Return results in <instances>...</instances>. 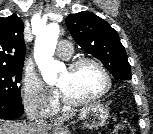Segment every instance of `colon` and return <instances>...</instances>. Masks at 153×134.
I'll return each mask as SVG.
<instances>
[{"label": "colon", "instance_id": "5ec220e1", "mask_svg": "<svg viewBox=\"0 0 153 134\" xmlns=\"http://www.w3.org/2000/svg\"><path fill=\"white\" fill-rule=\"evenodd\" d=\"M100 134H133L127 119V112L124 110L116 111L112 121L106 125Z\"/></svg>", "mask_w": 153, "mask_h": 134}]
</instances>
